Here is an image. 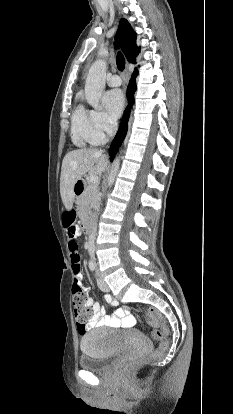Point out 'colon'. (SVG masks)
<instances>
[{"mask_svg": "<svg viewBox=\"0 0 233 414\" xmlns=\"http://www.w3.org/2000/svg\"><path fill=\"white\" fill-rule=\"evenodd\" d=\"M64 224L68 236V247L70 253L73 250L78 251V243L76 239L77 228L75 226L74 215L72 213L66 214L64 218ZM72 300L78 330L80 333H84L92 317L91 309L87 306V295L85 290H81V293L77 295H74L72 293ZM147 314L149 323L155 327L151 334L153 340L161 341L163 338V330L165 328L161 313L155 308H150ZM165 348L166 344L161 343L158 349L154 351L153 356L160 355L165 350ZM138 362L139 360L137 358H131L127 360L124 364V370L129 371L133 369L138 364Z\"/></svg>", "mask_w": 233, "mask_h": 414, "instance_id": "1", "label": "colon"}]
</instances>
